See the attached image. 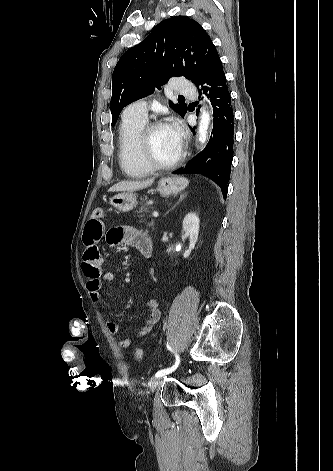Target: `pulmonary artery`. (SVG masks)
<instances>
[{
	"label": "pulmonary artery",
	"mask_w": 333,
	"mask_h": 471,
	"mask_svg": "<svg viewBox=\"0 0 333 471\" xmlns=\"http://www.w3.org/2000/svg\"><path fill=\"white\" fill-rule=\"evenodd\" d=\"M174 90L182 95L193 96L195 94V88L193 85L183 78H177L173 82ZM124 115L128 117H134L142 120H147V104L144 100H138L130 104L124 110Z\"/></svg>",
	"instance_id": "pulmonary-artery-1"
}]
</instances>
